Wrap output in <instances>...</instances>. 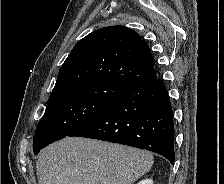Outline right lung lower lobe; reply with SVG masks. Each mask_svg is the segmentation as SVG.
Segmentation results:
<instances>
[{
    "label": "right lung lower lobe",
    "mask_w": 224,
    "mask_h": 184,
    "mask_svg": "<svg viewBox=\"0 0 224 184\" xmlns=\"http://www.w3.org/2000/svg\"><path fill=\"white\" fill-rule=\"evenodd\" d=\"M68 136L120 143L174 163V123L168 91L158 78L129 87L104 112Z\"/></svg>",
    "instance_id": "obj_1"
}]
</instances>
